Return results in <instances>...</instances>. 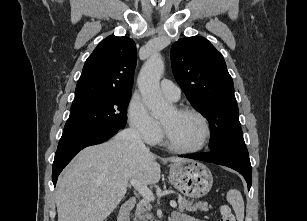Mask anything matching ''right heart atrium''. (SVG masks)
<instances>
[{
	"instance_id": "1",
	"label": "right heart atrium",
	"mask_w": 307,
	"mask_h": 221,
	"mask_svg": "<svg viewBox=\"0 0 307 221\" xmlns=\"http://www.w3.org/2000/svg\"><path fill=\"white\" fill-rule=\"evenodd\" d=\"M128 121L135 134L148 144L157 143L162 137L160 123L150 114L144 101L137 95L130 99Z\"/></svg>"
}]
</instances>
